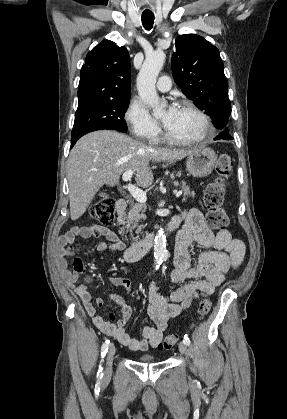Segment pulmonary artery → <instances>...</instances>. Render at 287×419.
I'll list each match as a JSON object with an SVG mask.
<instances>
[{"mask_svg": "<svg viewBox=\"0 0 287 419\" xmlns=\"http://www.w3.org/2000/svg\"><path fill=\"white\" fill-rule=\"evenodd\" d=\"M156 88L161 92H166L171 88V79L168 75H162L157 84Z\"/></svg>", "mask_w": 287, "mask_h": 419, "instance_id": "obj_1", "label": "pulmonary artery"}]
</instances>
